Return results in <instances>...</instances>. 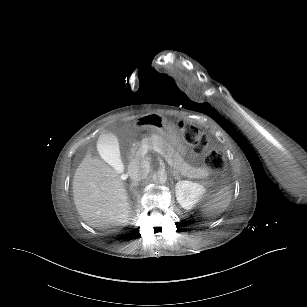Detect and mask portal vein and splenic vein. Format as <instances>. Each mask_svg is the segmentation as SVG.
Here are the masks:
<instances>
[{"instance_id":"obj_1","label":"portal vein and splenic vein","mask_w":307,"mask_h":307,"mask_svg":"<svg viewBox=\"0 0 307 307\" xmlns=\"http://www.w3.org/2000/svg\"><path fill=\"white\" fill-rule=\"evenodd\" d=\"M154 149L156 150V152H158V153L160 154L161 157H164V156H165V153L162 152V150H161L160 148L154 147ZM140 153H141V155L146 156V155H148L149 150H148V148L143 147V148H141ZM166 162H167L172 168H174L175 171H176L177 173L180 171L179 168L177 167V165H176L175 163H173L172 161H170L169 159H168Z\"/></svg>"}]
</instances>
